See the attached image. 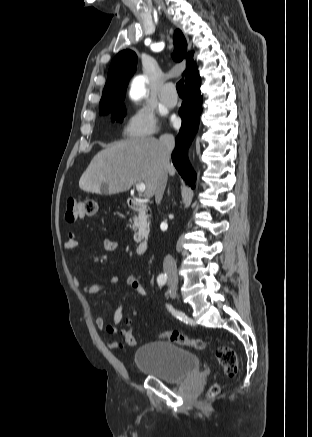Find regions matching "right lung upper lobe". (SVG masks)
Listing matches in <instances>:
<instances>
[{
  "mask_svg": "<svg viewBox=\"0 0 312 437\" xmlns=\"http://www.w3.org/2000/svg\"><path fill=\"white\" fill-rule=\"evenodd\" d=\"M174 59L177 62L184 58L187 60V69L184 72L185 84L192 78L198 76V70L193 61V52L187 53V43L180 30L174 34ZM137 56L132 50H123L119 52L110 65L107 82L105 84L102 98L100 100V114H106L113 109L124 105L126 87L129 78L136 70Z\"/></svg>",
  "mask_w": 312,
  "mask_h": 437,
  "instance_id": "obj_1",
  "label": "right lung upper lobe"
}]
</instances>
